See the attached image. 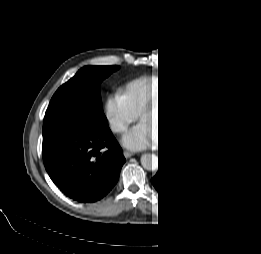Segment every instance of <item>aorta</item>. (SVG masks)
Returning a JSON list of instances; mask_svg holds the SVG:
<instances>
[{
	"label": "aorta",
	"instance_id": "1",
	"mask_svg": "<svg viewBox=\"0 0 261 254\" xmlns=\"http://www.w3.org/2000/svg\"><path fill=\"white\" fill-rule=\"evenodd\" d=\"M141 164L148 170H155L158 166V159L154 154H143L141 156Z\"/></svg>",
	"mask_w": 261,
	"mask_h": 254
}]
</instances>
